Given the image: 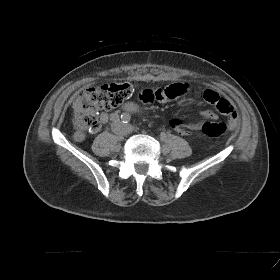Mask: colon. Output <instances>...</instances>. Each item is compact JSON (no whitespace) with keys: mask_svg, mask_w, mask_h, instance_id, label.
<instances>
[{"mask_svg":"<svg viewBox=\"0 0 280 280\" xmlns=\"http://www.w3.org/2000/svg\"><path fill=\"white\" fill-rule=\"evenodd\" d=\"M134 91L130 82L108 83L85 89L80 97L82 115L79 125L87 130L96 131L100 127L99 111H107L122 104ZM228 128L224 122H206L201 125V131L208 137H219Z\"/></svg>","mask_w":280,"mask_h":280,"instance_id":"colon-1","label":"colon"}]
</instances>
